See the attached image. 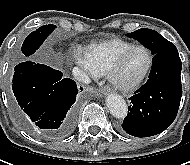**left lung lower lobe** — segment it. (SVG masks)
<instances>
[{
	"label": "left lung lower lobe",
	"instance_id": "0a47b994",
	"mask_svg": "<svg viewBox=\"0 0 190 165\" xmlns=\"http://www.w3.org/2000/svg\"><path fill=\"white\" fill-rule=\"evenodd\" d=\"M182 63L173 45L156 53L147 82L130 98L122 130L135 137L163 132L176 118L182 96Z\"/></svg>",
	"mask_w": 190,
	"mask_h": 165
}]
</instances>
